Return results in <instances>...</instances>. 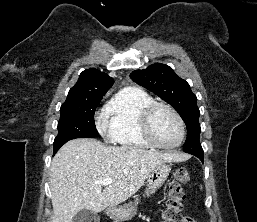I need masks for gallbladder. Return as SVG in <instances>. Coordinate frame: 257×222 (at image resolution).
<instances>
[{"label":"gallbladder","mask_w":257,"mask_h":222,"mask_svg":"<svg viewBox=\"0 0 257 222\" xmlns=\"http://www.w3.org/2000/svg\"><path fill=\"white\" fill-rule=\"evenodd\" d=\"M72 222H100V217L93 211L83 209L75 215Z\"/></svg>","instance_id":"1"}]
</instances>
